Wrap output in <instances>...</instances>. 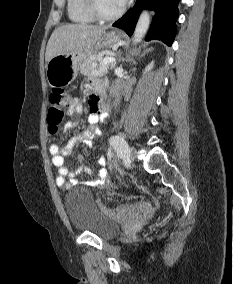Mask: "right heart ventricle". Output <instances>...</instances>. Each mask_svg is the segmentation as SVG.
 Returning <instances> with one entry per match:
<instances>
[{"label": "right heart ventricle", "mask_w": 233, "mask_h": 284, "mask_svg": "<svg viewBox=\"0 0 233 284\" xmlns=\"http://www.w3.org/2000/svg\"><path fill=\"white\" fill-rule=\"evenodd\" d=\"M67 14L72 22L89 24L95 21L87 7L86 0H67Z\"/></svg>", "instance_id": "obj_1"}]
</instances>
